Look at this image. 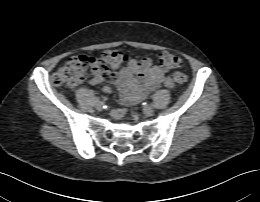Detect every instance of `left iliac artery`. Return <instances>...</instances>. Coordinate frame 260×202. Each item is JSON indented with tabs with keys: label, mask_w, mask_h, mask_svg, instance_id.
<instances>
[{
	"label": "left iliac artery",
	"mask_w": 260,
	"mask_h": 202,
	"mask_svg": "<svg viewBox=\"0 0 260 202\" xmlns=\"http://www.w3.org/2000/svg\"><path fill=\"white\" fill-rule=\"evenodd\" d=\"M143 105L146 106V105H150V104H149V102H144Z\"/></svg>",
	"instance_id": "1"
}]
</instances>
